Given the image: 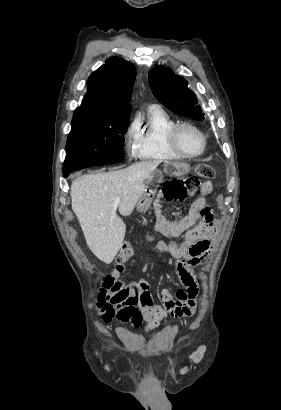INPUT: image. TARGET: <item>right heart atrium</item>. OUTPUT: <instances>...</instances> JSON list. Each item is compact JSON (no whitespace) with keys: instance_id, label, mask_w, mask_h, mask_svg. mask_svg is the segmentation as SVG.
<instances>
[{"instance_id":"right-heart-atrium-1","label":"right heart atrium","mask_w":281,"mask_h":410,"mask_svg":"<svg viewBox=\"0 0 281 410\" xmlns=\"http://www.w3.org/2000/svg\"><path fill=\"white\" fill-rule=\"evenodd\" d=\"M139 134V121L133 118L123 132V145L125 151L130 155L136 154V143Z\"/></svg>"}]
</instances>
